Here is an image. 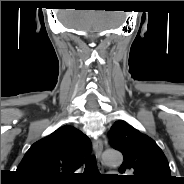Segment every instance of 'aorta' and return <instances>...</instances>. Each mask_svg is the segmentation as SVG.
I'll return each mask as SVG.
<instances>
[{"label":"aorta","mask_w":184,"mask_h":184,"mask_svg":"<svg viewBox=\"0 0 184 184\" xmlns=\"http://www.w3.org/2000/svg\"><path fill=\"white\" fill-rule=\"evenodd\" d=\"M103 158L105 163L110 166H118L123 161L122 154L116 150H106L103 154Z\"/></svg>","instance_id":"aorta-1"}]
</instances>
